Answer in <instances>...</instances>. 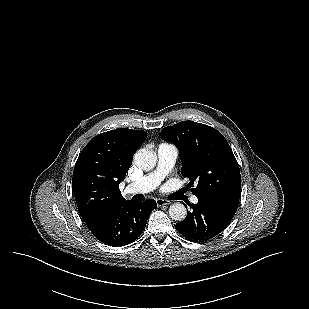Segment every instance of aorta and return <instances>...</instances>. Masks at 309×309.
Segmentation results:
<instances>
[{"mask_svg": "<svg viewBox=\"0 0 309 309\" xmlns=\"http://www.w3.org/2000/svg\"><path fill=\"white\" fill-rule=\"evenodd\" d=\"M156 160V154L147 149H140L134 155L135 165L144 171H150L153 169ZM186 214V207L182 203H174L169 207V216L172 220L183 221Z\"/></svg>", "mask_w": 309, "mask_h": 309, "instance_id": "aorta-1", "label": "aorta"}]
</instances>
